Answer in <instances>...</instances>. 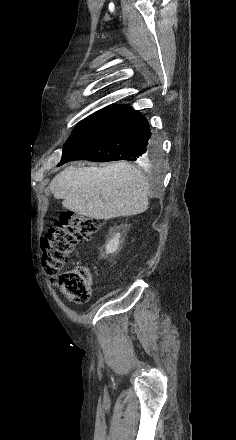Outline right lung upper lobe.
<instances>
[{
  "instance_id": "1",
  "label": "right lung upper lobe",
  "mask_w": 236,
  "mask_h": 440,
  "mask_svg": "<svg viewBox=\"0 0 236 440\" xmlns=\"http://www.w3.org/2000/svg\"><path fill=\"white\" fill-rule=\"evenodd\" d=\"M119 106H121V105H113V106H109V107L117 108V107H119Z\"/></svg>"
}]
</instances>
